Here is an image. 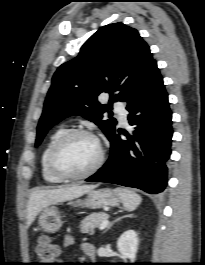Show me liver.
Instances as JSON below:
<instances>
[{
	"mask_svg": "<svg viewBox=\"0 0 205 265\" xmlns=\"http://www.w3.org/2000/svg\"><path fill=\"white\" fill-rule=\"evenodd\" d=\"M95 185H68L57 189H35L29 197L27 206V225L46 207L83 196L93 190Z\"/></svg>",
	"mask_w": 205,
	"mask_h": 265,
	"instance_id": "1",
	"label": "liver"
}]
</instances>
